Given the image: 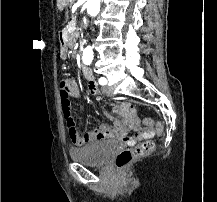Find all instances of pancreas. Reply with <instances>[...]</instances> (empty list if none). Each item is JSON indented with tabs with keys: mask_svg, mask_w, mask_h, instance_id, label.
<instances>
[{
	"mask_svg": "<svg viewBox=\"0 0 217 202\" xmlns=\"http://www.w3.org/2000/svg\"><path fill=\"white\" fill-rule=\"evenodd\" d=\"M72 22L70 21V22H68V24L63 28L64 30H63V33H67L68 31V29L69 28H72ZM78 36H79V32H77V30H76V32H69V34H68V46H70V48H74V46H75V42H76V38H78Z\"/></svg>",
	"mask_w": 217,
	"mask_h": 202,
	"instance_id": "cf45deb5",
	"label": "pancreas"
}]
</instances>
